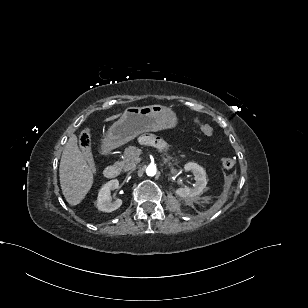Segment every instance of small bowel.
Segmentation results:
<instances>
[{
    "mask_svg": "<svg viewBox=\"0 0 308 308\" xmlns=\"http://www.w3.org/2000/svg\"><path fill=\"white\" fill-rule=\"evenodd\" d=\"M139 141L142 144L156 146V147H161L164 144L162 139L153 134H143L140 136Z\"/></svg>",
    "mask_w": 308,
    "mask_h": 308,
    "instance_id": "c3829d8e",
    "label": "small bowel"
}]
</instances>
